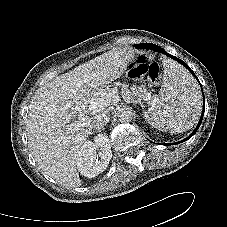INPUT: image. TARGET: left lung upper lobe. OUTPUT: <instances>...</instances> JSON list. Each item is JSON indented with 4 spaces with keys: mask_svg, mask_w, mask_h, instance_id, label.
<instances>
[{
    "mask_svg": "<svg viewBox=\"0 0 227 227\" xmlns=\"http://www.w3.org/2000/svg\"><path fill=\"white\" fill-rule=\"evenodd\" d=\"M142 44H151V43H142ZM139 45V44H138Z\"/></svg>",
    "mask_w": 227,
    "mask_h": 227,
    "instance_id": "1",
    "label": "left lung upper lobe"
}]
</instances>
